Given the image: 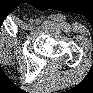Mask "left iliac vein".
<instances>
[{
    "instance_id": "1",
    "label": "left iliac vein",
    "mask_w": 93,
    "mask_h": 93,
    "mask_svg": "<svg viewBox=\"0 0 93 93\" xmlns=\"http://www.w3.org/2000/svg\"><path fill=\"white\" fill-rule=\"evenodd\" d=\"M34 23V20H30V24L32 25Z\"/></svg>"
}]
</instances>
